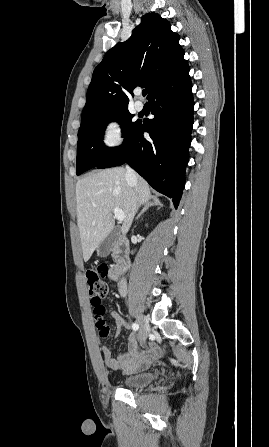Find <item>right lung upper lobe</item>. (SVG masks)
<instances>
[{
	"label": "right lung upper lobe",
	"instance_id": "cb5924a9",
	"mask_svg": "<svg viewBox=\"0 0 269 447\" xmlns=\"http://www.w3.org/2000/svg\"><path fill=\"white\" fill-rule=\"evenodd\" d=\"M179 38L159 14L144 15L130 38L111 48L94 70L80 128L108 112L128 108L136 86L146 87L150 94L186 65Z\"/></svg>",
	"mask_w": 269,
	"mask_h": 447
}]
</instances>
